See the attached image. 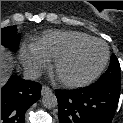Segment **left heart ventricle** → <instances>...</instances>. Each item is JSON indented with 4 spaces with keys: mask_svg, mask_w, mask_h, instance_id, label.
<instances>
[{
    "mask_svg": "<svg viewBox=\"0 0 123 123\" xmlns=\"http://www.w3.org/2000/svg\"><path fill=\"white\" fill-rule=\"evenodd\" d=\"M104 54V47L101 44H87L61 65L60 75L73 80L87 78L101 65Z\"/></svg>",
    "mask_w": 123,
    "mask_h": 123,
    "instance_id": "obj_1",
    "label": "left heart ventricle"
}]
</instances>
